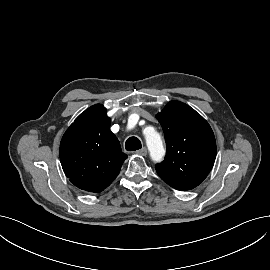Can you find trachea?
<instances>
[{
  "mask_svg": "<svg viewBox=\"0 0 270 270\" xmlns=\"http://www.w3.org/2000/svg\"><path fill=\"white\" fill-rule=\"evenodd\" d=\"M142 147L141 142L136 137H130L125 142V148L127 151H136L139 150Z\"/></svg>",
  "mask_w": 270,
  "mask_h": 270,
  "instance_id": "1",
  "label": "trachea"
}]
</instances>
